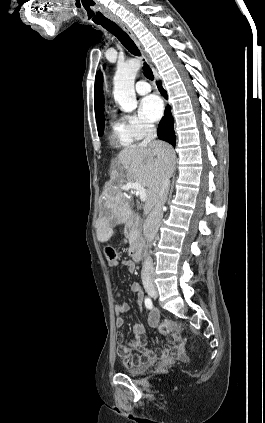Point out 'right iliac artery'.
<instances>
[{"label": "right iliac artery", "instance_id": "1", "mask_svg": "<svg viewBox=\"0 0 265 423\" xmlns=\"http://www.w3.org/2000/svg\"><path fill=\"white\" fill-rule=\"evenodd\" d=\"M145 306H146L148 309H151V308H152V301H151V299H150V298H148V297H146V298H145Z\"/></svg>", "mask_w": 265, "mask_h": 423}]
</instances>
